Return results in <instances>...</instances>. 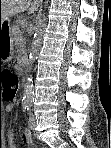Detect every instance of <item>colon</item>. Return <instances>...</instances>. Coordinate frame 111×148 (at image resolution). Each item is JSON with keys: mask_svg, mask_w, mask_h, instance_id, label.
Here are the masks:
<instances>
[{"mask_svg": "<svg viewBox=\"0 0 111 148\" xmlns=\"http://www.w3.org/2000/svg\"><path fill=\"white\" fill-rule=\"evenodd\" d=\"M0 87H2V96L7 101H14L18 92V77L10 70L0 71Z\"/></svg>", "mask_w": 111, "mask_h": 148, "instance_id": "1", "label": "colon"}]
</instances>
